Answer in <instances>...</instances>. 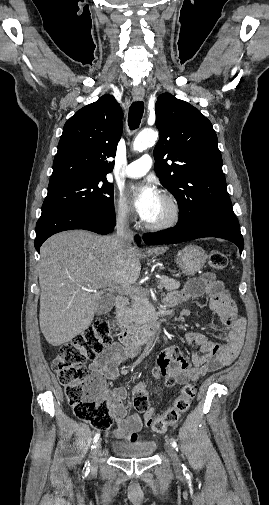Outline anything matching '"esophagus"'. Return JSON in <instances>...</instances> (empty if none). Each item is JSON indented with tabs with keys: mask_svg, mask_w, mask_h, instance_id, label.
Returning a JSON list of instances; mask_svg holds the SVG:
<instances>
[{
	"mask_svg": "<svg viewBox=\"0 0 269 505\" xmlns=\"http://www.w3.org/2000/svg\"><path fill=\"white\" fill-rule=\"evenodd\" d=\"M132 96L135 100H143L145 91L143 89H133Z\"/></svg>",
	"mask_w": 269,
	"mask_h": 505,
	"instance_id": "34e87169",
	"label": "esophagus"
}]
</instances>
